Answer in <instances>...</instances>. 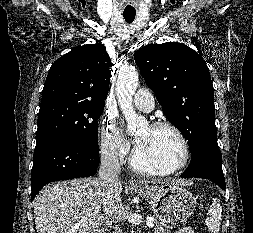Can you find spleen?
Returning a JSON list of instances; mask_svg holds the SVG:
<instances>
[{"label":"spleen","mask_w":253,"mask_h":233,"mask_svg":"<svg viewBox=\"0 0 253 233\" xmlns=\"http://www.w3.org/2000/svg\"><path fill=\"white\" fill-rule=\"evenodd\" d=\"M221 221L222 207L220 201L217 198H214L209 209V216L206 218L205 223L211 233H219Z\"/></svg>","instance_id":"obj_1"}]
</instances>
